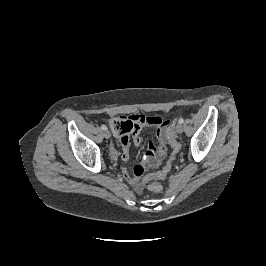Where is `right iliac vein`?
<instances>
[{
  "label": "right iliac vein",
  "instance_id": "1",
  "mask_svg": "<svg viewBox=\"0 0 266 266\" xmlns=\"http://www.w3.org/2000/svg\"><path fill=\"white\" fill-rule=\"evenodd\" d=\"M103 135L106 139H109L111 137V133L108 130H104Z\"/></svg>",
  "mask_w": 266,
  "mask_h": 266
}]
</instances>
